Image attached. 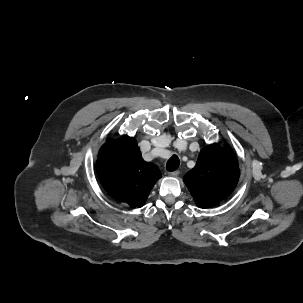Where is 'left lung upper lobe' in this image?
Wrapping results in <instances>:
<instances>
[{
  "label": "left lung upper lobe",
  "instance_id": "obj_1",
  "mask_svg": "<svg viewBox=\"0 0 303 303\" xmlns=\"http://www.w3.org/2000/svg\"><path fill=\"white\" fill-rule=\"evenodd\" d=\"M238 178V163L232 149L212 144L200 152L196 166L184 176V182L197 206L210 208L231 194Z\"/></svg>",
  "mask_w": 303,
  "mask_h": 303
}]
</instances>
